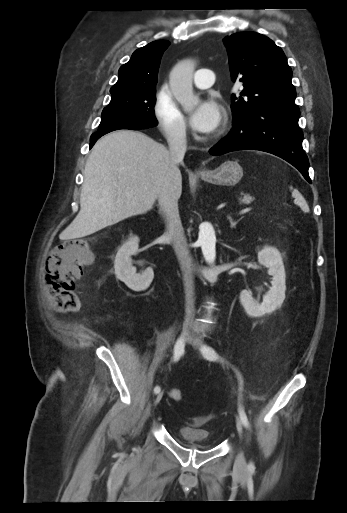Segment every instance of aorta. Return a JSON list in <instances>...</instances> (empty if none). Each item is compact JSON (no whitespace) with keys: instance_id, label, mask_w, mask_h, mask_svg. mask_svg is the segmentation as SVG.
Wrapping results in <instances>:
<instances>
[{"instance_id":"1","label":"aorta","mask_w":347,"mask_h":513,"mask_svg":"<svg viewBox=\"0 0 347 513\" xmlns=\"http://www.w3.org/2000/svg\"><path fill=\"white\" fill-rule=\"evenodd\" d=\"M194 70L195 61L184 59L177 63L170 73V88L174 97L185 111L191 110L199 102V98L193 93L192 79ZM199 242L206 262L210 265L213 264L216 259V236L210 224L201 225Z\"/></svg>"}]
</instances>
